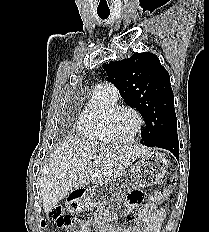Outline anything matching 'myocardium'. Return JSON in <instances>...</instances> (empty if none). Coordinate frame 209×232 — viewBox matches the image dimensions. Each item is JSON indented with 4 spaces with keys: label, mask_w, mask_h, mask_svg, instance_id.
<instances>
[{
    "label": "myocardium",
    "mask_w": 209,
    "mask_h": 232,
    "mask_svg": "<svg viewBox=\"0 0 209 232\" xmlns=\"http://www.w3.org/2000/svg\"><path fill=\"white\" fill-rule=\"evenodd\" d=\"M122 111H129L131 112L136 120H137V126L133 134L127 138H117L113 135L112 130H111V123L113 118L120 112ZM143 126V118L139 111L131 106L128 105H115L111 107L110 109L107 110V112L104 115V120H103V128H104V133L106 138L110 142H116V143H128L131 142L135 139V137L138 135L140 130L142 129Z\"/></svg>",
    "instance_id": "obj_1"
}]
</instances>
